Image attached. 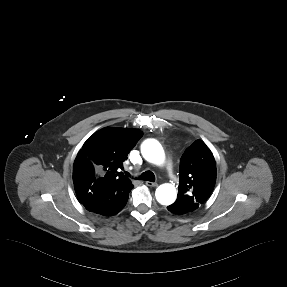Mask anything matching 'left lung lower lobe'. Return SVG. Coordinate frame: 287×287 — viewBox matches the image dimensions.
<instances>
[{
	"mask_svg": "<svg viewBox=\"0 0 287 287\" xmlns=\"http://www.w3.org/2000/svg\"><path fill=\"white\" fill-rule=\"evenodd\" d=\"M167 209L172 212V213H175V214H184L186 212H184L183 209H181L180 207H177L174 203L170 206L167 207Z\"/></svg>",
	"mask_w": 287,
	"mask_h": 287,
	"instance_id": "0a47b994",
	"label": "left lung lower lobe"
}]
</instances>
